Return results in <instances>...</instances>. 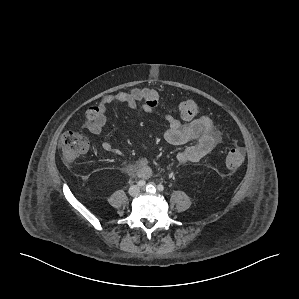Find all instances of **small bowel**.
<instances>
[{"label":"small bowel","mask_w":299,"mask_h":299,"mask_svg":"<svg viewBox=\"0 0 299 299\" xmlns=\"http://www.w3.org/2000/svg\"><path fill=\"white\" fill-rule=\"evenodd\" d=\"M117 102L126 104L135 113L152 114L156 108V106H149L145 103L139 88L108 94L99 103V113L96 120L88 125V129L92 134L98 135L102 132L110 107ZM163 117L168 124V128L164 133V138L168 143L185 145L195 141L194 144L177 153L176 160L180 164L198 162L222 140L221 134L214 128L212 119L206 115L183 121L171 114H165ZM100 145L107 152L121 153L120 149L109 141L102 140ZM133 173L144 179L152 175V169L146 158H141L135 163Z\"/></svg>","instance_id":"obj_1"}]
</instances>
